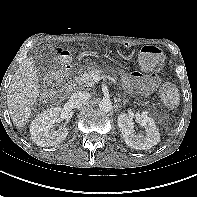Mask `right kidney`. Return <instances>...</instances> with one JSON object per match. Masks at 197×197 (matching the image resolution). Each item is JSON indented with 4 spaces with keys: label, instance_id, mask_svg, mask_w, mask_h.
<instances>
[{
    "label": "right kidney",
    "instance_id": "right-kidney-1",
    "mask_svg": "<svg viewBox=\"0 0 197 197\" xmlns=\"http://www.w3.org/2000/svg\"><path fill=\"white\" fill-rule=\"evenodd\" d=\"M61 109L50 108L38 114L30 125L31 139L41 147L55 146L63 142L68 135V128L60 127L57 131H50L55 122L61 121Z\"/></svg>",
    "mask_w": 197,
    "mask_h": 197
}]
</instances>
